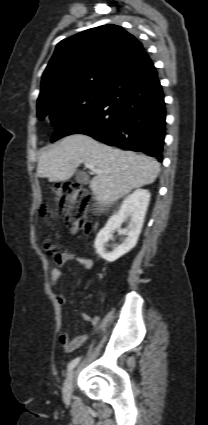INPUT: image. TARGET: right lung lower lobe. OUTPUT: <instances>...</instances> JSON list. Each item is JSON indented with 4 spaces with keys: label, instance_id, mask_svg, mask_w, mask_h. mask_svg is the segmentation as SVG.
Here are the masks:
<instances>
[{
    "label": "right lung lower lobe",
    "instance_id": "98d812e1",
    "mask_svg": "<svg viewBox=\"0 0 208 425\" xmlns=\"http://www.w3.org/2000/svg\"><path fill=\"white\" fill-rule=\"evenodd\" d=\"M165 116L158 73L145 55L106 87L98 104L62 119L51 141L80 133L109 146L144 152L161 162Z\"/></svg>",
    "mask_w": 208,
    "mask_h": 425
}]
</instances>
